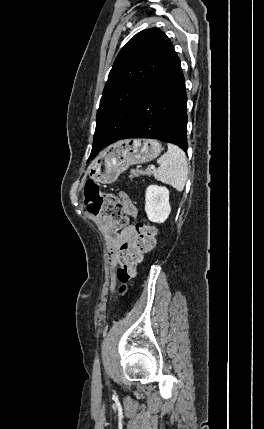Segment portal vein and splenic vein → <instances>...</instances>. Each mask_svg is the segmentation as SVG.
Returning <instances> with one entry per match:
<instances>
[{
    "instance_id": "obj_1",
    "label": "portal vein and splenic vein",
    "mask_w": 264,
    "mask_h": 429,
    "mask_svg": "<svg viewBox=\"0 0 264 429\" xmlns=\"http://www.w3.org/2000/svg\"><path fill=\"white\" fill-rule=\"evenodd\" d=\"M150 169H155V165H151V166H150Z\"/></svg>"
}]
</instances>
